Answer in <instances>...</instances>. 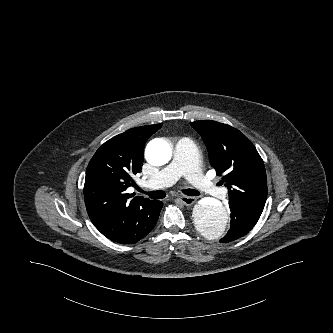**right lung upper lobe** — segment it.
I'll use <instances>...</instances> for the list:
<instances>
[{"label": "right lung upper lobe", "instance_id": "1", "mask_svg": "<svg viewBox=\"0 0 333 333\" xmlns=\"http://www.w3.org/2000/svg\"><path fill=\"white\" fill-rule=\"evenodd\" d=\"M162 124L132 128L105 142L94 154L86 171L84 199L88 215L104 235L116 232L130 214L150 201L126 189L134 186L140 173L143 150L148 138Z\"/></svg>", "mask_w": 333, "mask_h": 333}]
</instances>
